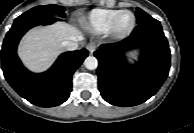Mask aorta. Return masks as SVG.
<instances>
[{
	"mask_svg": "<svg viewBox=\"0 0 194 133\" xmlns=\"http://www.w3.org/2000/svg\"><path fill=\"white\" fill-rule=\"evenodd\" d=\"M84 66L89 70H94L98 67V60L94 56H88L84 61Z\"/></svg>",
	"mask_w": 194,
	"mask_h": 133,
	"instance_id": "aorta-1",
	"label": "aorta"
}]
</instances>
